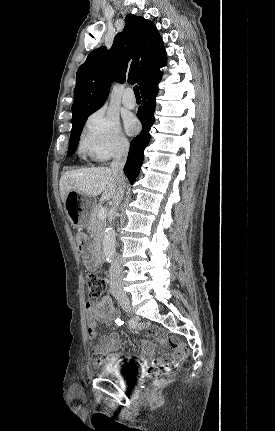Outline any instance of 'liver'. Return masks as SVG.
Masks as SVG:
<instances>
[{"instance_id":"1","label":"liver","mask_w":275,"mask_h":431,"mask_svg":"<svg viewBox=\"0 0 275 431\" xmlns=\"http://www.w3.org/2000/svg\"><path fill=\"white\" fill-rule=\"evenodd\" d=\"M59 187L63 202L69 191H76L88 197L102 194L101 200L106 201L114 198L119 182L109 168L96 167L66 171L61 176Z\"/></svg>"}]
</instances>
